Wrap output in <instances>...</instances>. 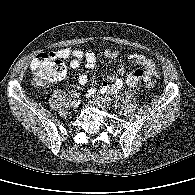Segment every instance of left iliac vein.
Instances as JSON below:
<instances>
[{
    "mask_svg": "<svg viewBox=\"0 0 195 195\" xmlns=\"http://www.w3.org/2000/svg\"><path fill=\"white\" fill-rule=\"evenodd\" d=\"M91 102L102 109H107L109 107L108 102L105 101V99L100 98V97L93 98Z\"/></svg>",
    "mask_w": 195,
    "mask_h": 195,
    "instance_id": "1",
    "label": "left iliac vein"
}]
</instances>
